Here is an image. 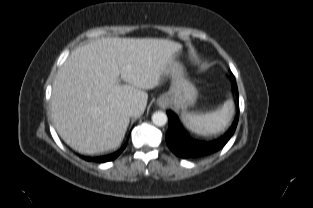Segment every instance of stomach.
Instances as JSON below:
<instances>
[{"label": "stomach", "instance_id": "obj_1", "mask_svg": "<svg viewBox=\"0 0 313 208\" xmlns=\"http://www.w3.org/2000/svg\"><path fill=\"white\" fill-rule=\"evenodd\" d=\"M167 72L172 78V83L170 90L163 96L165 103L181 109L192 105L196 99L197 90L187 78L183 66L174 61L167 65Z\"/></svg>", "mask_w": 313, "mask_h": 208}]
</instances>
